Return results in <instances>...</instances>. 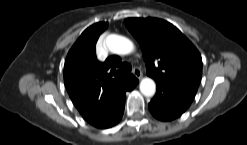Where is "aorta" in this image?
I'll list each match as a JSON object with an SVG mask.
<instances>
[{
	"label": "aorta",
	"mask_w": 247,
	"mask_h": 145,
	"mask_svg": "<svg viewBox=\"0 0 247 145\" xmlns=\"http://www.w3.org/2000/svg\"><path fill=\"white\" fill-rule=\"evenodd\" d=\"M107 48L115 54L127 55L134 50L133 43L126 37L112 34L106 38ZM140 91L146 97H151L155 94L156 84L151 78H143L140 82Z\"/></svg>",
	"instance_id": "aorta-1"
}]
</instances>
